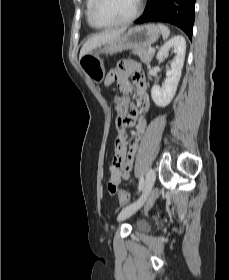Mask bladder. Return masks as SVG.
I'll return each mask as SVG.
<instances>
[{"label":"bladder","mask_w":229,"mask_h":280,"mask_svg":"<svg viewBox=\"0 0 229 280\" xmlns=\"http://www.w3.org/2000/svg\"><path fill=\"white\" fill-rule=\"evenodd\" d=\"M135 230L139 232H147L150 230V226L143 220H137L133 223Z\"/></svg>","instance_id":"31cf9c89"}]
</instances>
